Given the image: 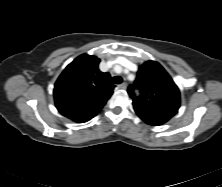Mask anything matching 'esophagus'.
Here are the masks:
<instances>
[{"label": "esophagus", "mask_w": 222, "mask_h": 187, "mask_svg": "<svg viewBox=\"0 0 222 187\" xmlns=\"http://www.w3.org/2000/svg\"><path fill=\"white\" fill-rule=\"evenodd\" d=\"M120 89H126L127 88V84L125 82H123L122 84L119 85Z\"/></svg>", "instance_id": "esophagus-1"}]
</instances>
